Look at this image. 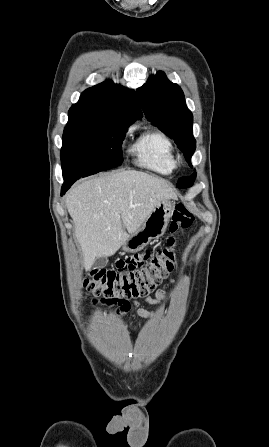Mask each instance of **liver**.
Masks as SVG:
<instances>
[{
  "label": "liver",
  "mask_w": 269,
  "mask_h": 447,
  "mask_svg": "<svg viewBox=\"0 0 269 447\" xmlns=\"http://www.w3.org/2000/svg\"><path fill=\"white\" fill-rule=\"evenodd\" d=\"M163 200H178L169 182L136 170H116L73 186L66 206L86 271L98 257L113 255Z\"/></svg>",
  "instance_id": "obj_1"
}]
</instances>
